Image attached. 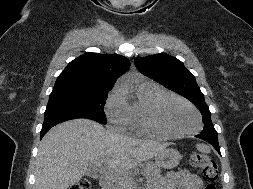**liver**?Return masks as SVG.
<instances>
[{"label":"liver","instance_id":"6515ba94","mask_svg":"<svg viewBox=\"0 0 253 189\" xmlns=\"http://www.w3.org/2000/svg\"><path fill=\"white\" fill-rule=\"evenodd\" d=\"M166 147L108 131L89 119L69 120L52 128L40 142L35 189H67L88 170L97 171L99 163H105L121 179L122 189H131L132 169Z\"/></svg>","mask_w":253,"mask_h":189}]
</instances>
